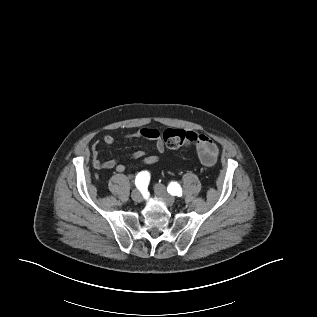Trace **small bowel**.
<instances>
[{"instance_id":"c3829d8e","label":"small bowel","mask_w":317,"mask_h":317,"mask_svg":"<svg viewBox=\"0 0 317 317\" xmlns=\"http://www.w3.org/2000/svg\"><path fill=\"white\" fill-rule=\"evenodd\" d=\"M197 140L195 141V149L200 161L206 166H212L219 154L218 145L214 140L204 134H197ZM127 138H143L153 141L155 143V149L158 153H162L165 150V145L161 139L160 133L156 129L141 128L131 134L126 135ZM106 145H112L115 142V138L106 134L102 139ZM130 157L134 160H140L144 165H152L159 161L158 155H147L143 150L134 151ZM92 164L97 170H109L114 169L118 173H123L126 170L124 164L118 159L101 160L99 145L95 144L92 148Z\"/></svg>"}]
</instances>
